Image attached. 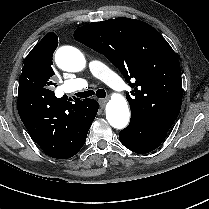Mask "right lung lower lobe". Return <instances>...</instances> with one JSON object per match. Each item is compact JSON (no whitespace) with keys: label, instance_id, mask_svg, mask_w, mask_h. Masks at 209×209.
Masks as SVG:
<instances>
[{"label":"right lung lower lobe","instance_id":"98d812e1","mask_svg":"<svg viewBox=\"0 0 209 209\" xmlns=\"http://www.w3.org/2000/svg\"><path fill=\"white\" fill-rule=\"evenodd\" d=\"M93 104L88 125L78 131L69 123L62 124L60 118L70 110L68 103L55 95L49 96L32 87L18 90V113L31 138L50 157L67 159L74 156L86 141L88 130L97 114L98 103Z\"/></svg>","mask_w":209,"mask_h":209}]
</instances>
